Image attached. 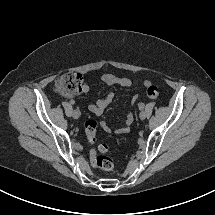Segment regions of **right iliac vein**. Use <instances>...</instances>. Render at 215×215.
Returning a JSON list of instances; mask_svg holds the SVG:
<instances>
[{
	"label": "right iliac vein",
	"mask_w": 215,
	"mask_h": 215,
	"mask_svg": "<svg viewBox=\"0 0 215 215\" xmlns=\"http://www.w3.org/2000/svg\"><path fill=\"white\" fill-rule=\"evenodd\" d=\"M79 117H80L79 111H74V112H73V118H74V119H78Z\"/></svg>",
	"instance_id": "obj_1"
}]
</instances>
